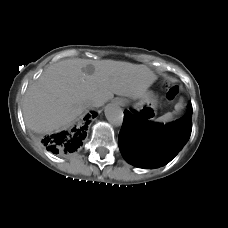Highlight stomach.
Segmentation results:
<instances>
[{"label":"stomach","instance_id":"stomach-1","mask_svg":"<svg viewBox=\"0 0 228 228\" xmlns=\"http://www.w3.org/2000/svg\"><path fill=\"white\" fill-rule=\"evenodd\" d=\"M123 104H126L127 101L123 100ZM139 110L146 114L148 118H152L156 113L157 100L154 97L152 92H146L145 96L139 101Z\"/></svg>","mask_w":228,"mask_h":228}]
</instances>
